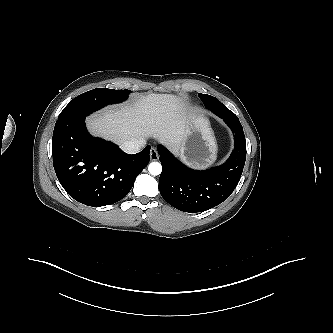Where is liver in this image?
Instances as JSON below:
<instances>
[{"label": "liver", "instance_id": "obj_1", "mask_svg": "<svg viewBox=\"0 0 333 333\" xmlns=\"http://www.w3.org/2000/svg\"><path fill=\"white\" fill-rule=\"evenodd\" d=\"M188 117L179 97L151 93L134 103L110 108L91 117L88 127L93 134L118 143L154 137L173 151H178L185 136Z\"/></svg>", "mask_w": 333, "mask_h": 333}]
</instances>
